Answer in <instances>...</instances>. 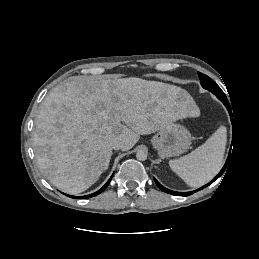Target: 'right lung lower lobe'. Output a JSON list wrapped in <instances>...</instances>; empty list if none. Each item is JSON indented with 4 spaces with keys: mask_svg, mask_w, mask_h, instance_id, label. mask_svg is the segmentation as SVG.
<instances>
[{
    "mask_svg": "<svg viewBox=\"0 0 259 259\" xmlns=\"http://www.w3.org/2000/svg\"><path fill=\"white\" fill-rule=\"evenodd\" d=\"M112 177H113V176H111V178L107 181V183H106L100 190H98L97 192H95V193H93V194L86 195V196H80V197H77V196H70V195H67V196L72 197V198H76V199L90 198V197L96 196V195L100 194L102 191H104V190L106 189V187L109 185V183H110Z\"/></svg>",
    "mask_w": 259,
    "mask_h": 259,
    "instance_id": "right-lung-lower-lobe-1",
    "label": "right lung lower lobe"
}]
</instances>
